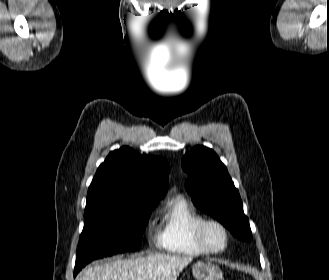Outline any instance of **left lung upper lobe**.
<instances>
[{"label":"left lung upper lobe","mask_w":329,"mask_h":280,"mask_svg":"<svg viewBox=\"0 0 329 280\" xmlns=\"http://www.w3.org/2000/svg\"><path fill=\"white\" fill-rule=\"evenodd\" d=\"M189 176L185 183L193 204L202 212L213 215L235 237L252 239L249 220L225 165L217 154L204 146H196L182 159Z\"/></svg>","instance_id":"5c2ea615"}]
</instances>
